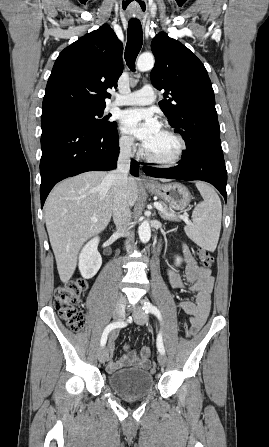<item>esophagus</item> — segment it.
<instances>
[{
  "instance_id": "esophagus-1",
  "label": "esophagus",
  "mask_w": 269,
  "mask_h": 447,
  "mask_svg": "<svg viewBox=\"0 0 269 447\" xmlns=\"http://www.w3.org/2000/svg\"><path fill=\"white\" fill-rule=\"evenodd\" d=\"M140 183L150 184V183H154V181L151 180V179H148V178L146 177V175H144L143 173H141V175H140Z\"/></svg>"
}]
</instances>
